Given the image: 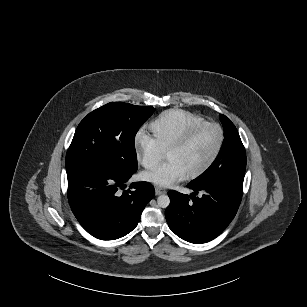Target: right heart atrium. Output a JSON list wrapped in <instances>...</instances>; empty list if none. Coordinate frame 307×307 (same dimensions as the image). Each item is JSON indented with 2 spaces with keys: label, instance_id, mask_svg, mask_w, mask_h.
I'll return each mask as SVG.
<instances>
[{
  "label": "right heart atrium",
  "instance_id": "d8ad5b80",
  "mask_svg": "<svg viewBox=\"0 0 307 307\" xmlns=\"http://www.w3.org/2000/svg\"><path fill=\"white\" fill-rule=\"evenodd\" d=\"M133 152L137 161L147 169L154 168L162 159V151L153 138L141 135L133 140Z\"/></svg>",
  "mask_w": 307,
  "mask_h": 307
}]
</instances>
